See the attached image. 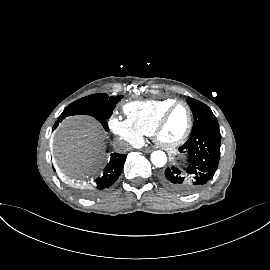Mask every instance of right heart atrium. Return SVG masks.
<instances>
[{
  "instance_id": "right-heart-atrium-1",
  "label": "right heart atrium",
  "mask_w": 270,
  "mask_h": 270,
  "mask_svg": "<svg viewBox=\"0 0 270 270\" xmlns=\"http://www.w3.org/2000/svg\"><path fill=\"white\" fill-rule=\"evenodd\" d=\"M109 125L114 134L131 144L142 141L143 135L127 119L113 116Z\"/></svg>"
}]
</instances>
